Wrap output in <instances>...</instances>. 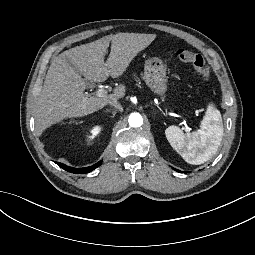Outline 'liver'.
Here are the masks:
<instances>
[{
	"label": "liver",
	"instance_id": "liver-1",
	"mask_svg": "<svg viewBox=\"0 0 255 255\" xmlns=\"http://www.w3.org/2000/svg\"><path fill=\"white\" fill-rule=\"evenodd\" d=\"M155 38L156 34L117 33L76 46L54 58L37 102V135L40 136L46 128L66 117H82L102 109L112 100L123 98L126 88L122 84L113 90V94L105 97L87 95L84 93L85 80L103 82L109 76H121L133 58ZM110 42L111 52L104 62Z\"/></svg>",
	"mask_w": 255,
	"mask_h": 255
}]
</instances>
